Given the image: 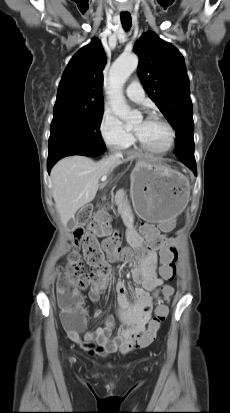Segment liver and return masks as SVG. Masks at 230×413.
I'll use <instances>...</instances> for the list:
<instances>
[{
    "mask_svg": "<svg viewBox=\"0 0 230 413\" xmlns=\"http://www.w3.org/2000/svg\"><path fill=\"white\" fill-rule=\"evenodd\" d=\"M121 163L119 157L94 162L85 156H71L55 164L51 170L52 194L64 226L105 186L106 183L99 184L101 177L109 175Z\"/></svg>",
    "mask_w": 230,
    "mask_h": 413,
    "instance_id": "1",
    "label": "liver"
}]
</instances>
